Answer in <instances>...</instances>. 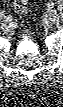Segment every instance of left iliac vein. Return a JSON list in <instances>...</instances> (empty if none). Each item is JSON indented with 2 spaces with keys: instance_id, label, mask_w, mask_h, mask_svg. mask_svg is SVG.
Instances as JSON below:
<instances>
[{
  "instance_id": "left-iliac-vein-1",
  "label": "left iliac vein",
  "mask_w": 63,
  "mask_h": 107,
  "mask_svg": "<svg viewBox=\"0 0 63 107\" xmlns=\"http://www.w3.org/2000/svg\"><path fill=\"white\" fill-rule=\"evenodd\" d=\"M49 20L51 23L56 24L59 21V14L56 10H50L49 12Z\"/></svg>"
}]
</instances>
